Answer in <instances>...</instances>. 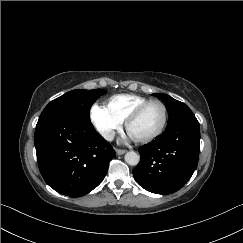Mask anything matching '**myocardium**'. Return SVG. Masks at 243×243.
I'll list each match as a JSON object with an SVG mask.
<instances>
[{
  "mask_svg": "<svg viewBox=\"0 0 243 243\" xmlns=\"http://www.w3.org/2000/svg\"><path fill=\"white\" fill-rule=\"evenodd\" d=\"M153 103H157L159 105H161L162 109H163V120L162 123L160 125V127L150 136L143 138V139H134V141L138 144H147L149 142L154 141L155 139H157L165 130L167 123H168V118H169V112H168V107L167 105L160 99H150L147 102L141 104L140 106H138L135 110H133L130 115L126 118L125 120V127L127 132L129 133V127L130 125L136 121L141 114L143 113V111L151 104Z\"/></svg>",
  "mask_w": 243,
  "mask_h": 243,
  "instance_id": "myocardium-1",
  "label": "myocardium"
}]
</instances>
